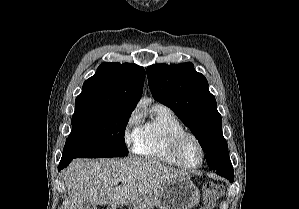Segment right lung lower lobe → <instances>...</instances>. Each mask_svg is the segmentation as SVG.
I'll return each instance as SVG.
<instances>
[{
	"label": "right lung lower lobe",
	"instance_id": "obj_1",
	"mask_svg": "<svg viewBox=\"0 0 299 209\" xmlns=\"http://www.w3.org/2000/svg\"><path fill=\"white\" fill-rule=\"evenodd\" d=\"M73 158H69V159H61L59 166H58V171H60L61 169L65 168L68 166V164L72 161Z\"/></svg>",
	"mask_w": 299,
	"mask_h": 209
}]
</instances>
